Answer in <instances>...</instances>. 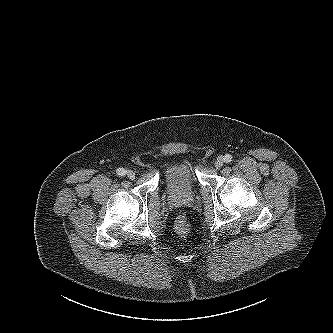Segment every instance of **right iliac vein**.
<instances>
[{"label": "right iliac vein", "mask_w": 333, "mask_h": 333, "mask_svg": "<svg viewBox=\"0 0 333 333\" xmlns=\"http://www.w3.org/2000/svg\"><path fill=\"white\" fill-rule=\"evenodd\" d=\"M126 175L128 176V178H130L132 180L135 179V173L132 170L126 171Z\"/></svg>", "instance_id": "right-iliac-vein-1"}]
</instances>
